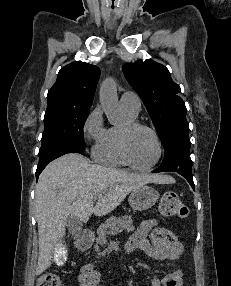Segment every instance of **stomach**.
<instances>
[{
  "label": "stomach",
  "instance_id": "stomach-1",
  "mask_svg": "<svg viewBox=\"0 0 231 286\" xmlns=\"http://www.w3.org/2000/svg\"><path fill=\"white\" fill-rule=\"evenodd\" d=\"M158 199L159 194L154 188L143 185L131 191L128 202L134 211H143L153 207Z\"/></svg>",
  "mask_w": 231,
  "mask_h": 286
}]
</instances>
